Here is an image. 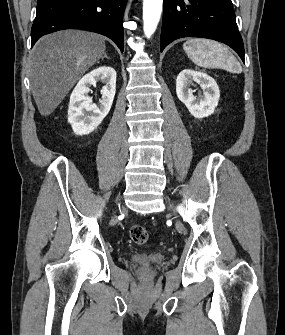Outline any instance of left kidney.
Masks as SVG:
<instances>
[{"label": "left kidney", "instance_id": "5707ae66", "mask_svg": "<svg viewBox=\"0 0 285 335\" xmlns=\"http://www.w3.org/2000/svg\"><path fill=\"white\" fill-rule=\"evenodd\" d=\"M192 82L200 84V88L205 90L201 98H194L193 92L189 86ZM176 94L185 104L187 110L194 118H207L214 114L216 106H218L220 92L219 88L208 74L203 72H194V70H182L176 80Z\"/></svg>", "mask_w": 285, "mask_h": 335}]
</instances>
